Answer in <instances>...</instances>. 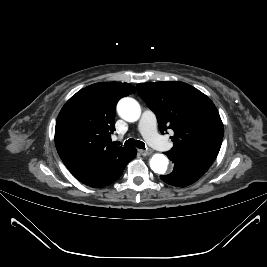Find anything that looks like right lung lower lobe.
Here are the masks:
<instances>
[{"instance_id":"98d812e1","label":"right lung lower lobe","mask_w":267,"mask_h":267,"mask_svg":"<svg viewBox=\"0 0 267 267\" xmlns=\"http://www.w3.org/2000/svg\"><path fill=\"white\" fill-rule=\"evenodd\" d=\"M137 151L135 148H132L129 154L118 160L116 163L109 166L104 172L94 178L92 181L86 183V185L93 188H100L110 185L122 175L126 165L135 158Z\"/></svg>"}]
</instances>
